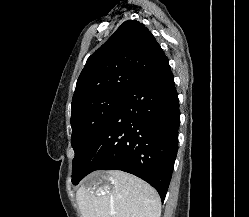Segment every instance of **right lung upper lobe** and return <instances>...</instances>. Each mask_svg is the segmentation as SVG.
Instances as JSON below:
<instances>
[{"label": "right lung upper lobe", "instance_id": "obj_1", "mask_svg": "<svg viewBox=\"0 0 249 217\" xmlns=\"http://www.w3.org/2000/svg\"><path fill=\"white\" fill-rule=\"evenodd\" d=\"M164 56L144 24L125 21L88 58L77 80L72 109L104 94L126 95Z\"/></svg>", "mask_w": 249, "mask_h": 217}]
</instances>
